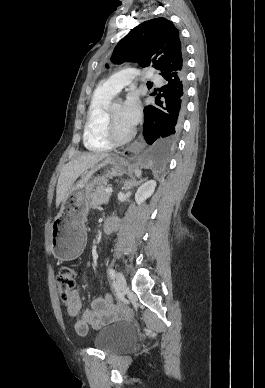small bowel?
Wrapping results in <instances>:
<instances>
[{
	"label": "small bowel",
	"instance_id": "small-bowel-1",
	"mask_svg": "<svg viewBox=\"0 0 265 388\" xmlns=\"http://www.w3.org/2000/svg\"><path fill=\"white\" fill-rule=\"evenodd\" d=\"M66 311L69 316H78L75 330L80 334L87 333L90 328L98 329L115 317L114 304H107L103 298H94L89 307L82 309L78 290L72 291L69 301L66 303Z\"/></svg>",
	"mask_w": 265,
	"mask_h": 388
}]
</instances>
